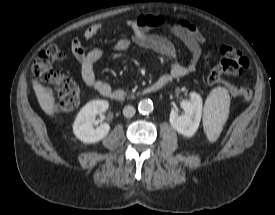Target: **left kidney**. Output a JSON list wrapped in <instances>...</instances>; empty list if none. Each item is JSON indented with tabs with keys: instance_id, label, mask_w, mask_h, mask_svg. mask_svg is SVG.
<instances>
[{
	"instance_id": "left-kidney-1",
	"label": "left kidney",
	"mask_w": 275,
	"mask_h": 215,
	"mask_svg": "<svg viewBox=\"0 0 275 215\" xmlns=\"http://www.w3.org/2000/svg\"><path fill=\"white\" fill-rule=\"evenodd\" d=\"M202 98L199 94L190 93V99L181 102L184 115L179 116L175 110H171L170 124L180 134L191 137L197 131L202 116Z\"/></svg>"
}]
</instances>
